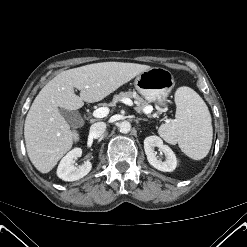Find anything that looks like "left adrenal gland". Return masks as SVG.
<instances>
[{"mask_svg":"<svg viewBox=\"0 0 247 247\" xmlns=\"http://www.w3.org/2000/svg\"><path fill=\"white\" fill-rule=\"evenodd\" d=\"M139 120L147 121L148 119H146V118H137L136 121L138 122Z\"/></svg>","mask_w":247,"mask_h":247,"instance_id":"obj_1","label":"left adrenal gland"}]
</instances>
